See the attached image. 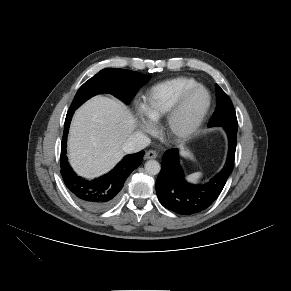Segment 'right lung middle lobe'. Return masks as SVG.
Segmentation results:
<instances>
[{"label": "right lung middle lobe", "instance_id": "1", "mask_svg": "<svg viewBox=\"0 0 291 291\" xmlns=\"http://www.w3.org/2000/svg\"><path fill=\"white\" fill-rule=\"evenodd\" d=\"M150 76L116 68H106L85 82L77 91L69 110L77 109L90 97L99 93H111L125 103H130Z\"/></svg>", "mask_w": 291, "mask_h": 291}]
</instances>
